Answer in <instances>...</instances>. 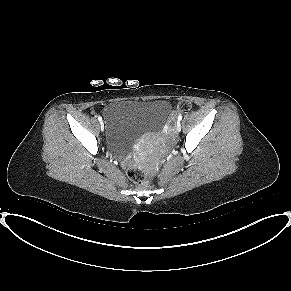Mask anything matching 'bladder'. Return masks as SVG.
I'll use <instances>...</instances> for the list:
<instances>
[{"label": "bladder", "mask_w": 291, "mask_h": 291, "mask_svg": "<svg viewBox=\"0 0 291 291\" xmlns=\"http://www.w3.org/2000/svg\"><path fill=\"white\" fill-rule=\"evenodd\" d=\"M171 111L166 100L108 103L103 110V131L108 146L115 151L129 148L143 134L159 131Z\"/></svg>", "instance_id": "bladder-1"}]
</instances>
